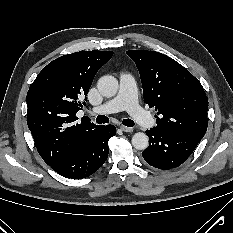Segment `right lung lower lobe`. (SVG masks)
<instances>
[{"label":"right lung lower lobe","instance_id":"obj_1","mask_svg":"<svg viewBox=\"0 0 233 233\" xmlns=\"http://www.w3.org/2000/svg\"><path fill=\"white\" fill-rule=\"evenodd\" d=\"M115 134V126H103L79 151L51 167L60 175L72 179L92 175L106 161L108 141Z\"/></svg>","mask_w":233,"mask_h":233}]
</instances>
